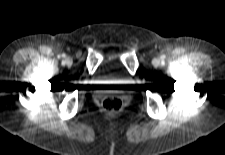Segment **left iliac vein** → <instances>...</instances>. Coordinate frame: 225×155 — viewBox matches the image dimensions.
Wrapping results in <instances>:
<instances>
[{
	"label": "left iliac vein",
	"mask_w": 225,
	"mask_h": 155,
	"mask_svg": "<svg viewBox=\"0 0 225 155\" xmlns=\"http://www.w3.org/2000/svg\"><path fill=\"white\" fill-rule=\"evenodd\" d=\"M153 63H154L155 65H158V64L160 63V60H159V59H154Z\"/></svg>",
	"instance_id": "4c4485c4"
}]
</instances>
